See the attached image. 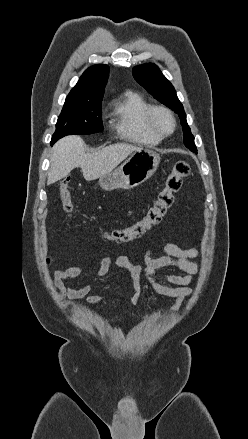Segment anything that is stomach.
<instances>
[{
	"instance_id": "stomach-1",
	"label": "stomach",
	"mask_w": 248,
	"mask_h": 439,
	"mask_svg": "<svg viewBox=\"0 0 248 439\" xmlns=\"http://www.w3.org/2000/svg\"><path fill=\"white\" fill-rule=\"evenodd\" d=\"M160 155L149 148L134 151L116 170L99 178L106 191L118 188L132 189L148 180L157 170Z\"/></svg>"
}]
</instances>
